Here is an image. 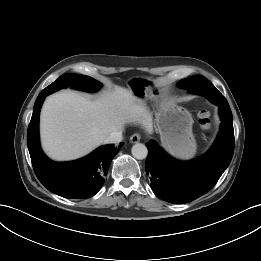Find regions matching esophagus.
Segmentation results:
<instances>
[{
  "label": "esophagus",
  "mask_w": 261,
  "mask_h": 261,
  "mask_svg": "<svg viewBox=\"0 0 261 261\" xmlns=\"http://www.w3.org/2000/svg\"><path fill=\"white\" fill-rule=\"evenodd\" d=\"M141 139V135L139 133H134L131 137H130V142L131 143H138Z\"/></svg>",
  "instance_id": "esophagus-1"
}]
</instances>
